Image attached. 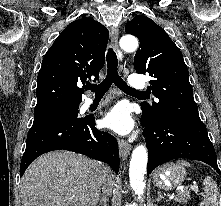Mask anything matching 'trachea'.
<instances>
[{
  "label": "trachea",
  "mask_w": 221,
  "mask_h": 206,
  "mask_svg": "<svg viewBox=\"0 0 221 206\" xmlns=\"http://www.w3.org/2000/svg\"><path fill=\"white\" fill-rule=\"evenodd\" d=\"M115 84L122 91H129L134 93L143 94L129 87L126 82L118 74V60L116 53L112 48L108 49L107 52V75L106 78L99 85L90 84L86 86V89H89L95 92V96H104L105 93L109 90L112 84Z\"/></svg>",
  "instance_id": "obj_1"
}]
</instances>
